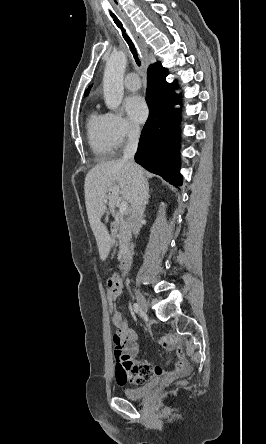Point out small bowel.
I'll return each mask as SVG.
<instances>
[{"instance_id":"1","label":"small bowel","mask_w":266,"mask_h":444,"mask_svg":"<svg viewBox=\"0 0 266 444\" xmlns=\"http://www.w3.org/2000/svg\"><path fill=\"white\" fill-rule=\"evenodd\" d=\"M111 282L119 283L120 288L118 295H120L122 293L120 277L117 274H113L107 281L108 286ZM112 322L116 327L113 342L115 345L116 378L120 385H126L127 382L141 385L147 381L160 378L164 383H170L176 378L189 373L190 367L182 351L178 348L175 338L168 335L161 338V345L165 350H173L176 348L174 367L170 370H164L159 365L149 364L136 357L138 352L136 334L134 330L129 327L119 311L112 315Z\"/></svg>"}]
</instances>
